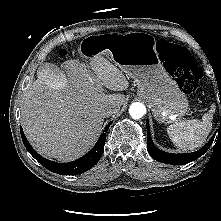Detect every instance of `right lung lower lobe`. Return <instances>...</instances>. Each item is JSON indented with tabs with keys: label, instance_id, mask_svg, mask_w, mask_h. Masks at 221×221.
I'll list each match as a JSON object with an SVG mask.
<instances>
[{
	"label": "right lung lower lobe",
	"instance_id": "obj_1",
	"mask_svg": "<svg viewBox=\"0 0 221 221\" xmlns=\"http://www.w3.org/2000/svg\"><path fill=\"white\" fill-rule=\"evenodd\" d=\"M111 123L112 122H110L105 127L103 133L101 134L99 140L97 141L94 148H92V150H90L87 154H85L83 157L79 158L78 160L69 163H56L43 158L30 146L21 127H20V133L23 143L26 149L28 150V152L45 168H47L48 170L54 173L61 175H76L89 170L99 161L104 151L106 132L109 129Z\"/></svg>",
	"mask_w": 221,
	"mask_h": 221
}]
</instances>
